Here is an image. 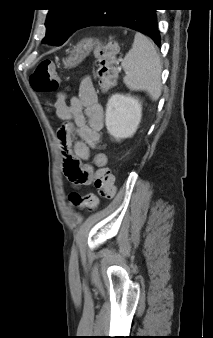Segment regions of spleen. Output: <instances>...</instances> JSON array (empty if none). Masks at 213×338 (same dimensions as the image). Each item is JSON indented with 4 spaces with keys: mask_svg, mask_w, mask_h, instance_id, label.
<instances>
[{
    "mask_svg": "<svg viewBox=\"0 0 213 338\" xmlns=\"http://www.w3.org/2000/svg\"><path fill=\"white\" fill-rule=\"evenodd\" d=\"M123 81L132 91H146L152 100L161 95L162 65L154 44L143 34L136 33L132 48L125 55Z\"/></svg>",
    "mask_w": 213,
    "mask_h": 338,
    "instance_id": "spleen-1",
    "label": "spleen"
}]
</instances>
